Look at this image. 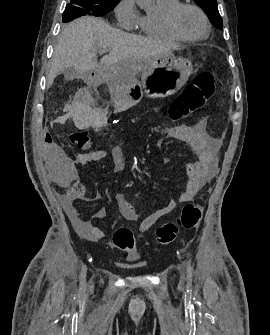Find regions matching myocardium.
I'll return each instance as SVG.
<instances>
[{"mask_svg": "<svg viewBox=\"0 0 270 335\" xmlns=\"http://www.w3.org/2000/svg\"><path fill=\"white\" fill-rule=\"evenodd\" d=\"M184 8H192L194 10H196L203 22H204V26H205V32L200 35V36H188L187 34H185L179 27L178 25V16L180 14V12L184 9ZM164 22L165 25L167 26V28L169 29V31L176 35L177 37L184 39V40H189V41H197V40H202L205 39L206 37L209 36L210 32H211V25L210 22L206 16V14L204 13V11L199 8L198 6H196L193 3H180L179 5H176L175 7L171 8L164 16Z\"/></svg>", "mask_w": 270, "mask_h": 335, "instance_id": "myocardium-1", "label": "myocardium"}]
</instances>
